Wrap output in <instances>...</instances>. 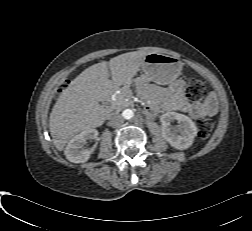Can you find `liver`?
<instances>
[{
    "label": "liver",
    "mask_w": 252,
    "mask_h": 231,
    "mask_svg": "<svg viewBox=\"0 0 252 231\" xmlns=\"http://www.w3.org/2000/svg\"><path fill=\"white\" fill-rule=\"evenodd\" d=\"M148 54L137 51L119 55L109 64L104 61L86 68L70 82L59 95L49 118L50 134L58 150H63L75 134L103 124L108 110L99 103L109 102L121 86L129 85Z\"/></svg>",
    "instance_id": "liver-1"
}]
</instances>
